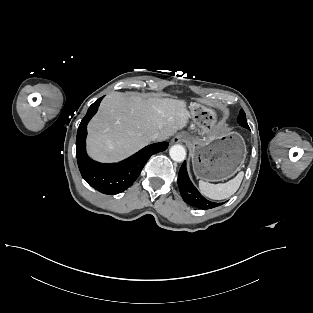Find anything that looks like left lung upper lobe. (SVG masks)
<instances>
[{"label": "left lung upper lobe", "mask_w": 313, "mask_h": 313, "mask_svg": "<svg viewBox=\"0 0 313 313\" xmlns=\"http://www.w3.org/2000/svg\"><path fill=\"white\" fill-rule=\"evenodd\" d=\"M237 122L244 128L249 129V126L247 124L246 118H245V112L243 110H240L239 116L237 118Z\"/></svg>", "instance_id": "1"}]
</instances>
